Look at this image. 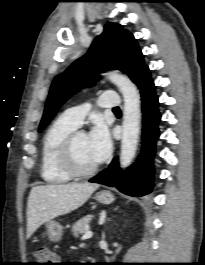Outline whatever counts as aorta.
<instances>
[{
	"mask_svg": "<svg viewBox=\"0 0 205 265\" xmlns=\"http://www.w3.org/2000/svg\"><path fill=\"white\" fill-rule=\"evenodd\" d=\"M107 77L118 87L124 99L120 152V167L124 169L131 164L137 150L141 121L140 95L127 76L110 72Z\"/></svg>",
	"mask_w": 205,
	"mask_h": 265,
	"instance_id": "1",
	"label": "aorta"
}]
</instances>
